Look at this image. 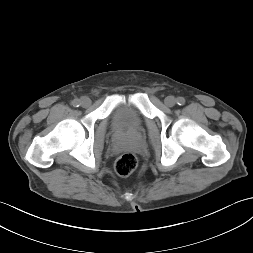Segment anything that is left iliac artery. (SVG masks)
I'll return each instance as SVG.
<instances>
[{"instance_id":"obj_1","label":"left iliac artery","mask_w":253,"mask_h":253,"mask_svg":"<svg viewBox=\"0 0 253 253\" xmlns=\"http://www.w3.org/2000/svg\"><path fill=\"white\" fill-rule=\"evenodd\" d=\"M177 104L178 105H184L185 104V99L183 97H178L177 98Z\"/></svg>"}]
</instances>
